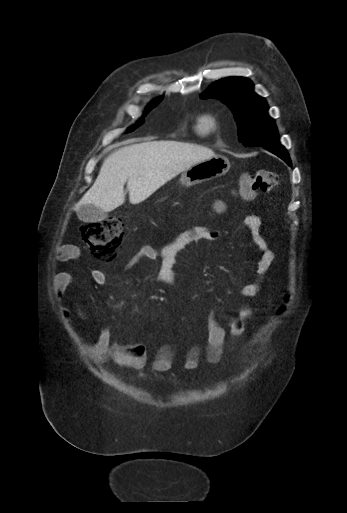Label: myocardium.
Segmentation results:
<instances>
[{"label":"myocardium","mask_w":347,"mask_h":513,"mask_svg":"<svg viewBox=\"0 0 347 513\" xmlns=\"http://www.w3.org/2000/svg\"><path fill=\"white\" fill-rule=\"evenodd\" d=\"M200 130L204 133H211L218 127V120L212 114H205L199 120Z\"/></svg>","instance_id":"1"}]
</instances>
